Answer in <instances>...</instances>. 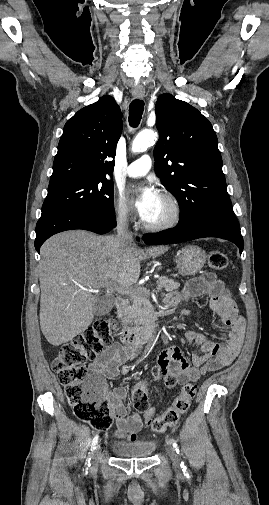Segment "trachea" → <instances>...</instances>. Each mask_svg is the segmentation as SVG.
Returning a JSON list of instances; mask_svg holds the SVG:
<instances>
[{
	"instance_id": "trachea-1",
	"label": "trachea",
	"mask_w": 269,
	"mask_h": 505,
	"mask_svg": "<svg viewBox=\"0 0 269 505\" xmlns=\"http://www.w3.org/2000/svg\"><path fill=\"white\" fill-rule=\"evenodd\" d=\"M144 111V102L140 99H135L129 106V124L131 127L136 128L140 124L142 114Z\"/></svg>"
}]
</instances>
